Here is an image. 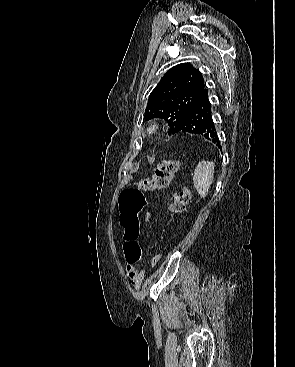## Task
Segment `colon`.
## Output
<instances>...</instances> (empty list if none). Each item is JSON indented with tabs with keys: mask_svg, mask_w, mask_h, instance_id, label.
Returning <instances> with one entry per match:
<instances>
[{
	"mask_svg": "<svg viewBox=\"0 0 295 367\" xmlns=\"http://www.w3.org/2000/svg\"><path fill=\"white\" fill-rule=\"evenodd\" d=\"M179 170L180 163L177 160H164L151 176L142 178L135 187L127 188L121 193L119 198L120 225L124 230L123 249L127 261L136 263L141 257V249L137 242L139 236L138 216L142 206H151L154 203L146 194L143 196V191L166 188ZM190 200L191 192L188 188L179 190L168 205L171 218L182 213ZM159 261V255L153 256L152 266H156Z\"/></svg>",
	"mask_w": 295,
	"mask_h": 367,
	"instance_id": "1",
	"label": "colon"
}]
</instances>
